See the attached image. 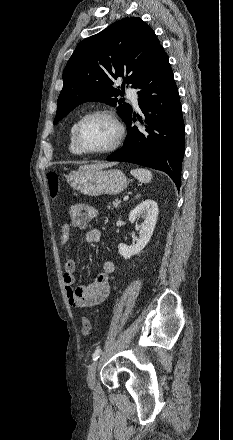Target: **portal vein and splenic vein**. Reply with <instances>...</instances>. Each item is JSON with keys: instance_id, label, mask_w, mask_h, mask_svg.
<instances>
[{"instance_id": "1", "label": "portal vein and splenic vein", "mask_w": 233, "mask_h": 440, "mask_svg": "<svg viewBox=\"0 0 233 440\" xmlns=\"http://www.w3.org/2000/svg\"><path fill=\"white\" fill-rule=\"evenodd\" d=\"M128 198H129L128 196H125V197L123 198V200H124V201H127Z\"/></svg>"}]
</instances>
